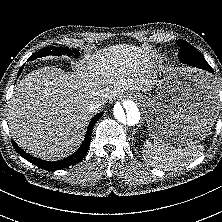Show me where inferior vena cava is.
<instances>
[{
    "label": "inferior vena cava",
    "instance_id": "602c4592",
    "mask_svg": "<svg viewBox=\"0 0 222 222\" xmlns=\"http://www.w3.org/2000/svg\"><path fill=\"white\" fill-rule=\"evenodd\" d=\"M103 106H104V102L97 99V100L91 101L88 104V110L90 112H94V111L98 110L99 108H101Z\"/></svg>",
    "mask_w": 222,
    "mask_h": 222
}]
</instances>
